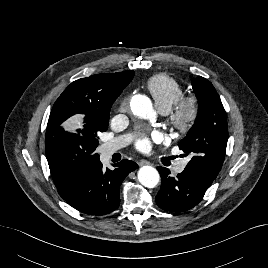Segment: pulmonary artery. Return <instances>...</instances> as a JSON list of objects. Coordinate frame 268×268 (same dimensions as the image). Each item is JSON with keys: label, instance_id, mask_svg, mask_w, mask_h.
<instances>
[{"label": "pulmonary artery", "instance_id": "obj_1", "mask_svg": "<svg viewBox=\"0 0 268 268\" xmlns=\"http://www.w3.org/2000/svg\"><path fill=\"white\" fill-rule=\"evenodd\" d=\"M162 113L166 114L165 112H162ZM131 139L132 137L130 134L114 137L103 145L102 153L104 155H110L111 153L128 145L131 142ZM185 166H186V161H181V162L176 163L173 166V170L176 173H182L185 169Z\"/></svg>", "mask_w": 268, "mask_h": 268}]
</instances>
